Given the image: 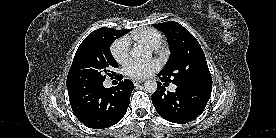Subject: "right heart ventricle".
Wrapping results in <instances>:
<instances>
[{
    "mask_svg": "<svg viewBox=\"0 0 276 138\" xmlns=\"http://www.w3.org/2000/svg\"><path fill=\"white\" fill-rule=\"evenodd\" d=\"M130 37L138 42H143L152 48L159 47L163 42L162 34L153 28L141 29L133 32Z\"/></svg>",
    "mask_w": 276,
    "mask_h": 138,
    "instance_id": "e07e8e85",
    "label": "right heart ventricle"
}]
</instances>
